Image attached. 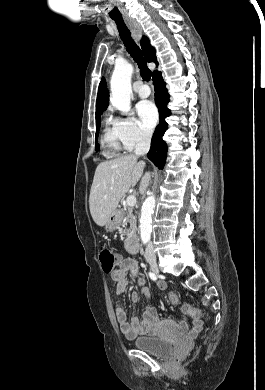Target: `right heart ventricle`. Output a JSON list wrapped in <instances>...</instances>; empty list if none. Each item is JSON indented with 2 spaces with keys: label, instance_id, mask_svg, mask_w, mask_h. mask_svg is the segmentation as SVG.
Masks as SVG:
<instances>
[{
  "label": "right heart ventricle",
  "instance_id": "e07e8e85",
  "mask_svg": "<svg viewBox=\"0 0 265 390\" xmlns=\"http://www.w3.org/2000/svg\"><path fill=\"white\" fill-rule=\"evenodd\" d=\"M102 145L104 153L107 156H116L124 148L111 118L106 120V126L102 136Z\"/></svg>",
  "mask_w": 265,
  "mask_h": 390
}]
</instances>
